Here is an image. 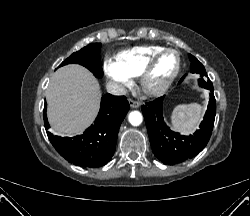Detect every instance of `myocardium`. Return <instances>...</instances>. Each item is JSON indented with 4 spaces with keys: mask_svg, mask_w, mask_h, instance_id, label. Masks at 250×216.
<instances>
[{
    "mask_svg": "<svg viewBox=\"0 0 250 216\" xmlns=\"http://www.w3.org/2000/svg\"><path fill=\"white\" fill-rule=\"evenodd\" d=\"M166 53H174L177 56L176 69L173 72V74L170 76V78L161 87L150 88L147 84L148 78H149L156 62L158 61V59ZM181 67H182V58H181L180 52L178 50L172 49V48H164L161 51L155 53L148 60V62L144 66L141 74L139 75L140 87H141L142 91L147 96H151V97H156V96H160V95L164 94L171 87V85L174 83V81L179 76L180 71H181Z\"/></svg>",
    "mask_w": 250,
    "mask_h": 216,
    "instance_id": "obj_1",
    "label": "myocardium"
}]
</instances>
